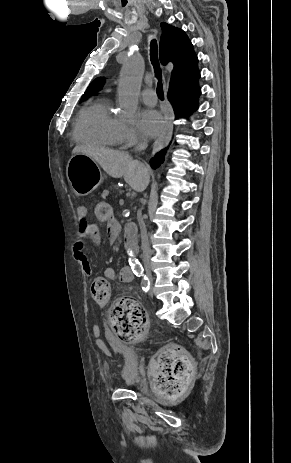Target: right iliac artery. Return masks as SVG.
Returning <instances> with one entry per match:
<instances>
[{"label":"right iliac artery","mask_w":291,"mask_h":463,"mask_svg":"<svg viewBox=\"0 0 291 463\" xmlns=\"http://www.w3.org/2000/svg\"><path fill=\"white\" fill-rule=\"evenodd\" d=\"M141 287H142V290H143L144 292H148V291H149L150 281H149L148 277H144V278L141 280Z\"/></svg>","instance_id":"82829eb1"}]
</instances>
